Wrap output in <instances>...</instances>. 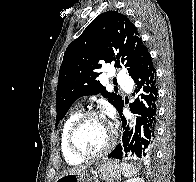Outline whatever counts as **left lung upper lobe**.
I'll use <instances>...</instances> for the list:
<instances>
[{
	"mask_svg": "<svg viewBox=\"0 0 196 182\" xmlns=\"http://www.w3.org/2000/svg\"><path fill=\"white\" fill-rule=\"evenodd\" d=\"M150 56L126 16L117 11L97 16L65 51L56 92V126L75 100L85 95L101 93L118 111L123 100L105 91L96 80L98 70L113 63L115 67H125L132 77Z\"/></svg>",
	"mask_w": 196,
	"mask_h": 182,
	"instance_id": "left-lung-upper-lobe-1",
	"label": "left lung upper lobe"
}]
</instances>
